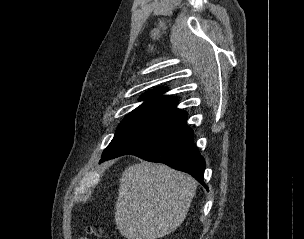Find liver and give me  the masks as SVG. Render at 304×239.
<instances>
[{
    "label": "liver",
    "instance_id": "liver-1",
    "mask_svg": "<svg viewBox=\"0 0 304 239\" xmlns=\"http://www.w3.org/2000/svg\"><path fill=\"white\" fill-rule=\"evenodd\" d=\"M196 180L164 164L142 162L122 173L115 205V223L127 239L162 238L186 218Z\"/></svg>",
    "mask_w": 304,
    "mask_h": 239
}]
</instances>
